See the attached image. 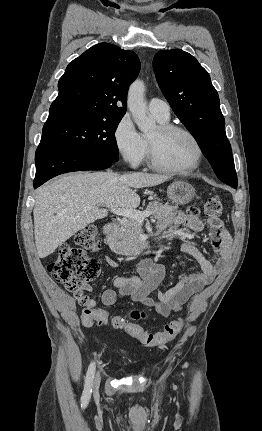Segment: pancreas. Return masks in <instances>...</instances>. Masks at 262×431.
<instances>
[{"mask_svg":"<svg viewBox=\"0 0 262 431\" xmlns=\"http://www.w3.org/2000/svg\"><path fill=\"white\" fill-rule=\"evenodd\" d=\"M175 207L163 205L159 202H150L146 211H149L157 220H166L171 217ZM143 234L142 225L136 220L129 219L123 222L121 227L114 233L110 242L112 251L121 255H135L140 253L147 245L140 239Z\"/></svg>","mask_w":262,"mask_h":431,"instance_id":"pancreas-1","label":"pancreas"}]
</instances>
